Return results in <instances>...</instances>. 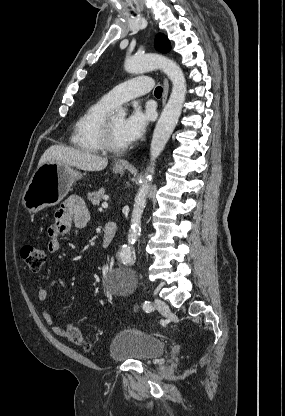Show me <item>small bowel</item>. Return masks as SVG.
<instances>
[{
	"label": "small bowel",
	"mask_w": 285,
	"mask_h": 416,
	"mask_svg": "<svg viewBox=\"0 0 285 416\" xmlns=\"http://www.w3.org/2000/svg\"><path fill=\"white\" fill-rule=\"evenodd\" d=\"M89 219L90 214L83 199L77 196L69 197L57 210L55 222L48 228V251L51 253L59 252L61 249L60 236L70 233L73 228L81 229L85 227ZM63 285L64 282L61 278L51 280L47 286L39 285V301L43 303L49 301L53 287ZM42 315L55 335L66 336V331L54 322L51 314L46 309L43 310Z\"/></svg>",
	"instance_id": "c3829d8e"
}]
</instances>
